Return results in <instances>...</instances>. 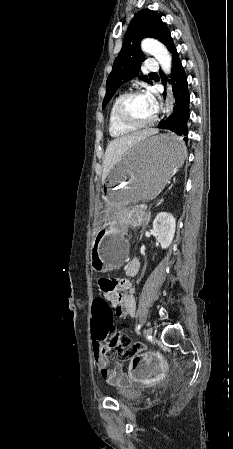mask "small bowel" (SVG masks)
I'll use <instances>...</instances> for the list:
<instances>
[{
    "label": "small bowel",
    "instance_id": "c3829d8e",
    "mask_svg": "<svg viewBox=\"0 0 233 449\" xmlns=\"http://www.w3.org/2000/svg\"><path fill=\"white\" fill-rule=\"evenodd\" d=\"M139 266L138 259H131L125 268L126 276L134 277L138 273ZM98 285L102 288L105 299L114 306L119 316H135V289L128 279H118L116 274H102L98 280ZM110 351L111 349H93L92 347L93 360L103 380L108 384L114 385L125 381L127 377L124 374L121 363H117L112 368L108 367L109 359L107 354ZM161 362V354H146L143 360L144 368L136 369V375L132 378L133 383L143 384L145 381L144 377H158L159 372L164 371L166 368Z\"/></svg>",
    "mask_w": 233,
    "mask_h": 449
}]
</instances>
